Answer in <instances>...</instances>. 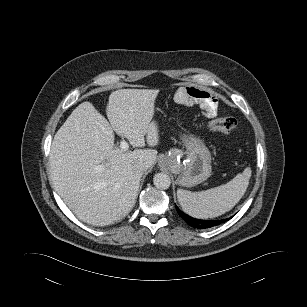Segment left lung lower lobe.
Wrapping results in <instances>:
<instances>
[{"mask_svg": "<svg viewBox=\"0 0 307 307\" xmlns=\"http://www.w3.org/2000/svg\"><path fill=\"white\" fill-rule=\"evenodd\" d=\"M178 214L192 227L198 228V229H206V228H210L213 226H217L229 219H222V220H200V219H195L190 217L189 215H186L185 213H183L182 211H180L178 209V207H176Z\"/></svg>", "mask_w": 307, "mask_h": 307, "instance_id": "0a47b994", "label": "left lung lower lobe"}]
</instances>
